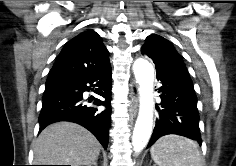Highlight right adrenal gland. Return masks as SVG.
Masks as SVG:
<instances>
[{
    "mask_svg": "<svg viewBox=\"0 0 236 166\" xmlns=\"http://www.w3.org/2000/svg\"><path fill=\"white\" fill-rule=\"evenodd\" d=\"M90 166H97V160Z\"/></svg>",
    "mask_w": 236,
    "mask_h": 166,
    "instance_id": "right-adrenal-gland-1",
    "label": "right adrenal gland"
}]
</instances>
